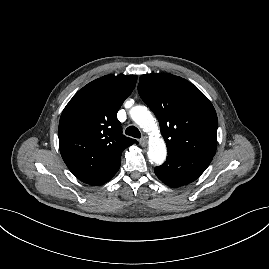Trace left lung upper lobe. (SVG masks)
<instances>
[{
  "label": "left lung upper lobe",
  "instance_id": "1",
  "mask_svg": "<svg viewBox=\"0 0 269 269\" xmlns=\"http://www.w3.org/2000/svg\"><path fill=\"white\" fill-rule=\"evenodd\" d=\"M138 92L157 117L168 150L215 155L217 115L196 86L171 74H146Z\"/></svg>",
  "mask_w": 269,
  "mask_h": 269
}]
</instances>
